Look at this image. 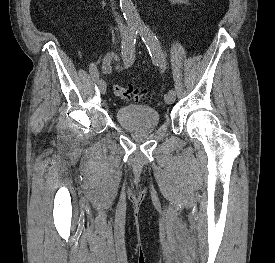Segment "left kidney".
Here are the masks:
<instances>
[{"instance_id":"1","label":"left kidney","mask_w":275,"mask_h":263,"mask_svg":"<svg viewBox=\"0 0 275 263\" xmlns=\"http://www.w3.org/2000/svg\"><path fill=\"white\" fill-rule=\"evenodd\" d=\"M170 1L175 2V3H185L188 0H170Z\"/></svg>"}]
</instances>
